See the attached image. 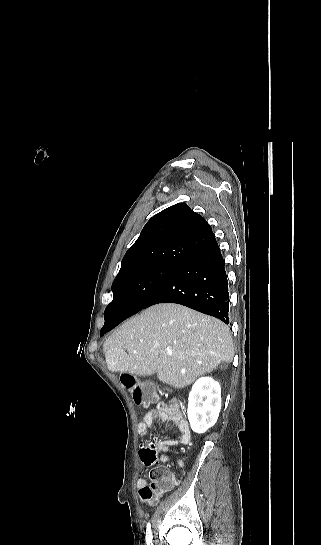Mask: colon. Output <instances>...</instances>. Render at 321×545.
Masks as SVG:
<instances>
[{"mask_svg": "<svg viewBox=\"0 0 321 545\" xmlns=\"http://www.w3.org/2000/svg\"><path fill=\"white\" fill-rule=\"evenodd\" d=\"M120 379L122 384L129 390L136 405L147 406L155 400L156 393L150 384L139 381L131 374H122ZM142 453L146 458L151 460L156 457V450L153 444L144 447ZM173 485L174 483L164 474L154 471L151 475V483L140 488V498L145 504L153 505Z\"/></svg>", "mask_w": 321, "mask_h": 545, "instance_id": "obj_1", "label": "colon"}]
</instances>
